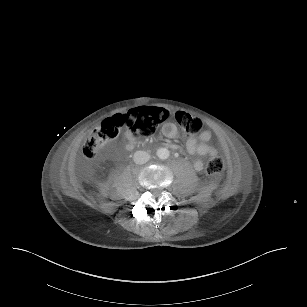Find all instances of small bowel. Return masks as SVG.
I'll list each match as a JSON object with an SVG mask.
<instances>
[{"mask_svg":"<svg viewBox=\"0 0 307 307\" xmlns=\"http://www.w3.org/2000/svg\"><path fill=\"white\" fill-rule=\"evenodd\" d=\"M163 134L168 138H174L178 134V130L175 125L171 123H166L162 128ZM127 146L133 148L136 144V139L130 133L126 134ZM211 139V133L207 130L200 132L197 137H190L186 142L187 151L190 154L205 156V155H215L218 150L215 147L208 145ZM170 148L178 149V145L171 144ZM194 168L198 171L203 169V163L201 160H196L194 162Z\"/></svg>","mask_w":307,"mask_h":307,"instance_id":"obj_1","label":"small bowel"}]
</instances>
